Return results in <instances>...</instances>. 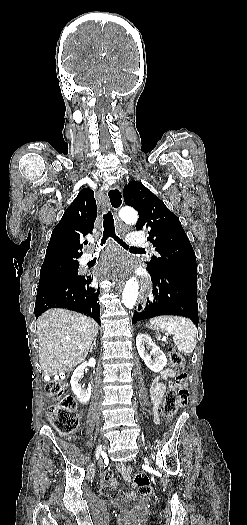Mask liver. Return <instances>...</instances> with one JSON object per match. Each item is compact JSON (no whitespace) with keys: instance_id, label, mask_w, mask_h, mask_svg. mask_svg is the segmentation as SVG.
<instances>
[{"instance_id":"6515ba94","label":"liver","mask_w":247,"mask_h":525,"mask_svg":"<svg viewBox=\"0 0 247 525\" xmlns=\"http://www.w3.org/2000/svg\"><path fill=\"white\" fill-rule=\"evenodd\" d=\"M98 327L94 319L75 311H45L37 321L39 363L44 375L64 373L85 361Z\"/></svg>"}]
</instances>
